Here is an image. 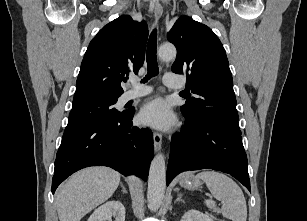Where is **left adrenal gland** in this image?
Wrapping results in <instances>:
<instances>
[{
  "mask_svg": "<svg viewBox=\"0 0 307 221\" xmlns=\"http://www.w3.org/2000/svg\"><path fill=\"white\" fill-rule=\"evenodd\" d=\"M178 201H181V202H184V200L182 199V195H178L177 199L175 200V202H178Z\"/></svg>",
  "mask_w": 307,
  "mask_h": 221,
  "instance_id": "left-adrenal-gland-1",
  "label": "left adrenal gland"
}]
</instances>
